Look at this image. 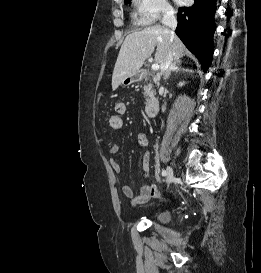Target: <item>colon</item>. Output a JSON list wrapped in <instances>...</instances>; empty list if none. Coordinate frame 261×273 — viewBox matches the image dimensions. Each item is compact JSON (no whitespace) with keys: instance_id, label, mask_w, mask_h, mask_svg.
<instances>
[{"instance_id":"5ec220e1","label":"colon","mask_w":261,"mask_h":273,"mask_svg":"<svg viewBox=\"0 0 261 273\" xmlns=\"http://www.w3.org/2000/svg\"><path fill=\"white\" fill-rule=\"evenodd\" d=\"M108 125L111 129L118 130L122 126V119L119 114H112L109 117Z\"/></svg>"}]
</instances>
